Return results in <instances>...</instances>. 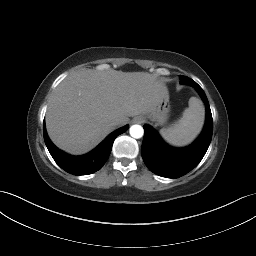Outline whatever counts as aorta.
<instances>
[{"label": "aorta", "mask_w": 256, "mask_h": 256, "mask_svg": "<svg viewBox=\"0 0 256 256\" xmlns=\"http://www.w3.org/2000/svg\"><path fill=\"white\" fill-rule=\"evenodd\" d=\"M129 132H130V135L133 137V138H141L144 134V129L141 125H132L129 129Z\"/></svg>", "instance_id": "762f6f07"}]
</instances>
